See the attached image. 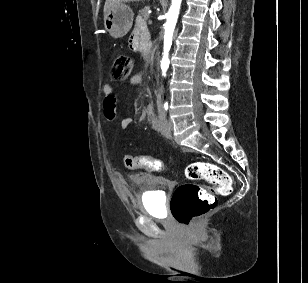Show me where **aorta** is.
<instances>
[{
    "mask_svg": "<svg viewBox=\"0 0 308 283\" xmlns=\"http://www.w3.org/2000/svg\"><path fill=\"white\" fill-rule=\"evenodd\" d=\"M181 2L182 0H172L170 9L167 13V20L165 23V34H164V53L160 64L163 76H166V72L169 67L168 54L172 44L174 29L179 16Z\"/></svg>",
    "mask_w": 308,
    "mask_h": 283,
    "instance_id": "obj_1",
    "label": "aorta"
}]
</instances>
